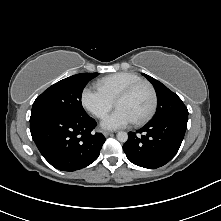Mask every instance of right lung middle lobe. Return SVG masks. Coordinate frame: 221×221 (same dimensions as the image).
Wrapping results in <instances>:
<instances>
[{"label":"right lung middle lobe","mask_w":221,"mask_h":221,"mask_svg":"<svg viewBox=\"0 0 221 221\" xmlns=\"http://www.w3.org/2000/svg\"><path fill=\"white\" fill-rule=\"evenodd\" d=\"M97 75L98 73H81L53 84L34 101L30 119L54 113L85 115L81 103L82 91Z\"/></svg>","instance_id":"dd1d6c3e"}]
</instances>
